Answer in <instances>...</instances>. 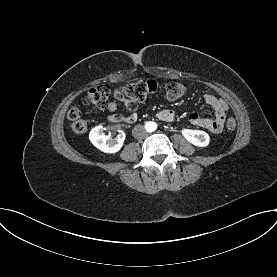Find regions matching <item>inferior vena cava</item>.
Wrapping results in <instances>:
<instances>
[{
  "mask_svg": "<svg viewBox=\"0 0 277 277\" xmlns=\"http://www.w3.org/2000/svg\"><path fill=\"white\" fill-rule=\"evenodd\" d=\"M132 135L136 139H144L148 133L142 125H136L132 130Z\"/></svg>",
  "mask_w": 277,
  "mask_h": 277,
  "instance_id": "inferior-vena-cava-1",
  "label": "inferior vena cava"
}]
</instances>
